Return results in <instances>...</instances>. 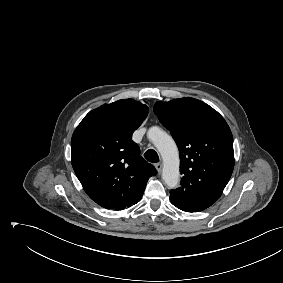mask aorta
<instances>
[{"mask_svg": "<svg viewBox=\"0 0 283 283\" xmlns=\"http://www.w3.org/2000/svg\"><path fill=\"white\" fill-rule=\"evenodd\" d=\"M148 138L160 152L163 159L162 178L169 188L179 183V152L173 138L159 127H151Z\"/></svg>", "mask_w": 283, "mask_h": 283, "instance_id": "obj_1", "label": "aorta"}]
</instances>
